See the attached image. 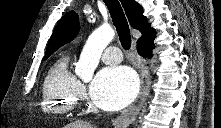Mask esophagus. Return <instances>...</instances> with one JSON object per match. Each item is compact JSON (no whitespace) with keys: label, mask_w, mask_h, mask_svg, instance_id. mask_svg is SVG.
<instances>
[{"label":"esophagus","mask_w":221,"mask_h":128,"mask_svg":"<svg viewBox=\"0 0 221 128\" xmlns=\"http://www.w3.org/2000/svg\"><path fill=\"white\" fill-rule=\"evenodd\" d=\"M132 49L135 54L138 66H139V71H140V76H141L140 91H139L137 98L134 100V102L130 104L127 108L122 110L120 115L113 122V124L118 128L128 127L130 124H132L135 121L137 115L139 114L141 108L143 107L147 99V95L149 91L150 81H149L148 71L145 67L144 60L138 55L136 51L135 41H133L132 43Z\"/></svg>","instance_id":"obj_1"}]
</instances>
